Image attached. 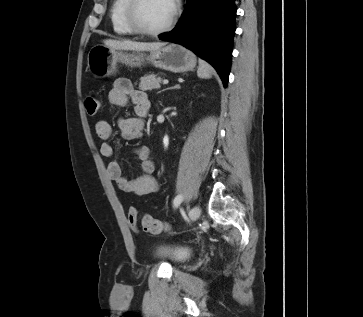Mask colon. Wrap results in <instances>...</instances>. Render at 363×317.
I'll list each match as a JSON object with an SVG mask.
<instances>
[{
  "label": "colon",
  "mask_w": 363,
  "mask_h": 317,
  "mask_svg": "<svg viewBox=\"0 0 363 317\" xmlns=\"http://www.w3.org/2000/svg\"><path fill=\"white\" fill-rule=\"evenodd\" d=\"M84 105L89 116H95L100 108V102L94 96L86 97ZM128 221L133 229H137L138 226H141L143 231L154 235L169 229V225L165 221L155 219L148 214H140L138 209L134 207H131L128 211Z\"/></svg>",
  "instance_id": "5ec220e1"
}]
</instances>
